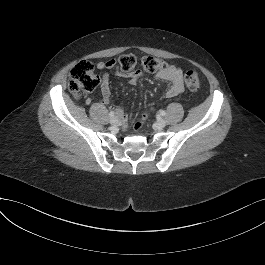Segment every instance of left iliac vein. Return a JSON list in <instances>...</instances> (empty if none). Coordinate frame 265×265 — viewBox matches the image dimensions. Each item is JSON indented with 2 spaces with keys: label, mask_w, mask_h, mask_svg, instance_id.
Masks as SVG:
<instances>
[{
  "label": "left iliac vein",
  "mask_w": 265,
  "mask_h": 265,
  "mask_svg": "<svg viewBox=\"0 0 265 265\" xmlns=\"http://www.w3.org/2000/svg\"><path fill=\"white\" fill-rule=\"evenodd\" d=\"M156 124H157V126H158L159 128H163V127H165L166 122H165L164 119L159 118V119H157Z\"/></svg>",
  "instance_id": "obj_1"
}]
</instances>
